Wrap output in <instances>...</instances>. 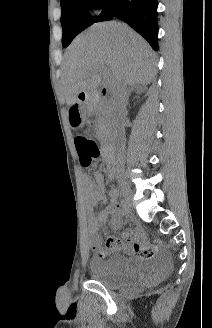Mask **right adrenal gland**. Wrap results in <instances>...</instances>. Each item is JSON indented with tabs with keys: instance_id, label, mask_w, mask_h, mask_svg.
Listing matches in <instances>:
<instances>
[{
	"instance_id": "right-adrenal-gland-1",
	"label": "right adrenal gland",
	"mask_w": 212,
	"mask_h": 328,
	"mask_svg": "<svg viewBox=\"0 0 212 328\" xmlns=\"http://www.w3.org/2000/svg\"><path fill=\"white\" fill-rule=\"evenodd\" d=\"M143 91H144L143 86H140V85L131 86V88L129 89V92H128V96H127V103H128L129 96L131 95L132 92H136L137 94H141Z\"/></svg>"
}]
</instances>
